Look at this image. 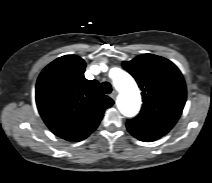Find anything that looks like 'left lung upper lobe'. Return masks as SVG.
I'll return each mask as SVG.
<instances>
[{"label":"left lung upper lobe","mask_w":212,"mask_h":183,"mask_svg":"<svg viewBox=\"0 0 212 183\" xmlns=\"http://www.w3.org/2000/svg\"><path fill=\"white\" fill-rule=\"evenodd\" d=\"M142 90L143 107L127 121L128 130L163 136L177 122L185 101L186 86L179 69L169 60L143 54L123 62Z\"/></svg>","instance_id":"obj_1"}]
</instances>
